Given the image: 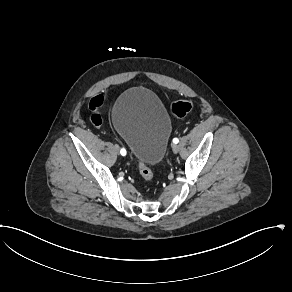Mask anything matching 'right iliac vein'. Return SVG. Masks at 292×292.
<instances>
[{"label": "right iliac vein", "mask_w": 292, "mask_h": 292, "mask_svg": "<svg viewBox=\"0 0 292 292\" xmlns=\"http://www.w3.org/2000/svg\"><path fill=\"white\" fill-rule=\"evenodd\" d=\"M114 150L118 153L119 152V146L118 145H115L114 146Z\"/></svg>", "instance_id": "63e3f726"}]
</instances>
